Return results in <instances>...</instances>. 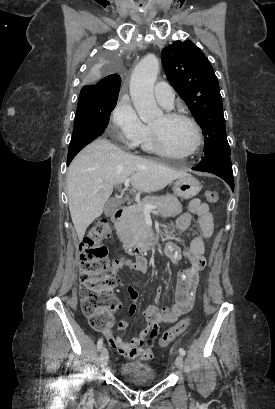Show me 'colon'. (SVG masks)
<instances>
[{"label": "colon", "mask_w": 275, "mask_h": 409, "mask_svg": "<svg viewBox=\"0 0 275 409\" xmlns=\"http://www.w3.org/2000/svg\"><path fill=\"white\" fill-rule=\"evenodd\" d=\"M218 196L216 190H208L205 193L206 200L211 203L216 202ZM108 237L107 221L98 220L83 237L78 249L81 260L79 290L81 310L92 330H107L108 325H114L113 313L119 312L122 306L121 300L113 293L119 281L113 275L112 263L123 264L124 258L113 257L112 263L107 258V246L104 241ZM189 324L190 316L181 318L164 331L159 338V346L167 347L189 327Z\"/></svg>", "instance_id": "colon-1"}]
</instances>
